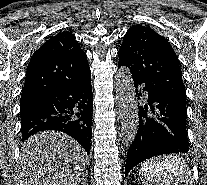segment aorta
<instances>
[{
  "mask_svg": "<svg viewBox=\"0 0 207 185\" xmlns=\"http://www.w3.org/2000/svg\"><path fill=\"white\" fill-rule=\"evenodd\" d=\"M115 81L122 143L128 149L136 137L139 119L135 86L130 69L126 66L119 68Z\"/></svg>",
  "mask_w": 207,
  "mask_h": 185,
  "instance_id": "obj_1",
  "label": "aorta"
}]
</instances>
